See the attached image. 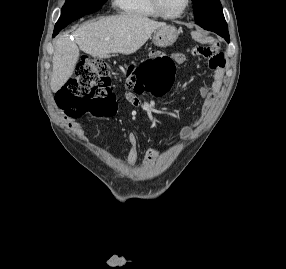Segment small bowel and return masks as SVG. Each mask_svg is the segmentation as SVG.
Returning a JSON list of instances; mask_svg holds the SVG:
<instances>
[{"label": "small bowel", "mask_w": 286, "mask_h": 269, "mask_svg": "<svg viewBox=\"0 0 286 269\" xmlns=\"http://www.w3.org/2000/svg\"><path fill=\"white\" fill-rule=\"evenodd\" d=\"M195 47L191 50L194 56L206 59L210 68L213 70V79L209 86H204L201 89V97L203 99L200 116L191 125L182 127L181 133L184 137H189L192 131V127L198 125L200 121L206 117L213 106L215 96L220 92L224 74L226 58L223 53H220L217 49L216 43H211L206 46L201 52H195ZM174 60L177 64H182L185 61L183 54H175ZM126 99H137V94H126ZM131 106H141V101H131ZM127 141L129 144V150L127 155V164L130 167H134L137 164L139 158L138 152V136L134 132L127 134ZM159 151L157 148L149 147L144 155V163L146 165L152 164L158 157Z\"/></svg>", "instance_id": "obj_1"}]
</instances>
